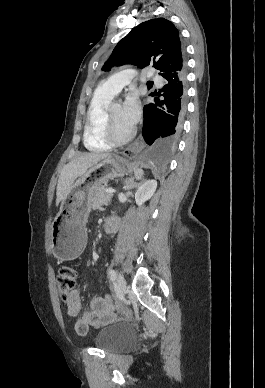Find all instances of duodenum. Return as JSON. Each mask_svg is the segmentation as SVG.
Listing matches in <instances>:
<instances>
[{
    "instance_id": "410a0bca",
    "label": "duodenum",
    "mask_w": 265,
    "mask_h": 388,
    "mask_svg": "<svg viewBox=\"0 0 265 388\" xmlns=\"http://www.w3.org/2000/svg\"><path fill=\"white\" fill-rule=\"evenodd\" d=\"M117 220L114 217H109L105 220L104 231L108 234L113 233L117 227Z\"/></svg>"
}]
</instances>
